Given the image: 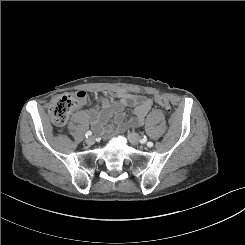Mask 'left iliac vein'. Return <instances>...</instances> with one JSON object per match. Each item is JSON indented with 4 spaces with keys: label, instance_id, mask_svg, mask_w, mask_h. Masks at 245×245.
I'll return each instance as SVG.
<instances>
[{
    "label": "left iliac vein",
    "instance_id": "1",
    "mask_svg": "<svg viewBox=\"0 0 245 245\" xmlns=\"http://www.w3.org/2000/svg\"><path fill=\"white\" fill-rule=\"evenodd\" d=\"M129 140L133 145H138L140 143V138L137 133L130 132L129 133Z\"/></svg>",
    "mask_w": 245,
    "mask_h": 245
}]
</instances>
